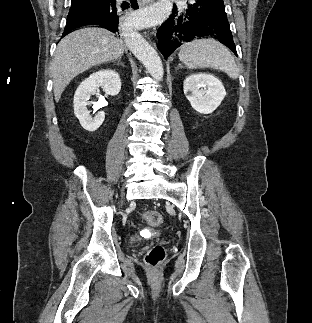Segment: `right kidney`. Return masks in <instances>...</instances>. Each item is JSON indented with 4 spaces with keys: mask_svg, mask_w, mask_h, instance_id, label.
<instances>
[{
    "mask_svg": "<svg viewBox=\"0 0 312 323\" xmlns=\"http://www.w3.org/2000/svg\"><path fill=\"white\" fill-rule=\"evenodd\" d=\"M98 88H103L108 96H117L121 90V80L119 74L114 70H100L91 74L89 78L83 80L74 94V114L78 118L82 128L88 132H95L104 122V112H97L91 116L87 106L90 96H94Z\"/></svg>",
    "mask_w": 312,
    "mask_h": 323,
    "instance_id": "obj_1",
    "label": "right kidney"
}]
</instances>
